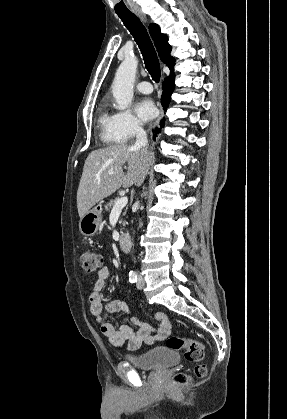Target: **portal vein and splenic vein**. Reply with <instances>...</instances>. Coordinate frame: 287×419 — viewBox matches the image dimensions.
I'll list each match as a JSON object with an SVG mask.
<instances>
[{
  "mask_svg": "<svg viewBox=\"0 0 287 419\" xmlns=\"http://www.w3.org/2000/svg\"><path fill=\"white\" fill-rule=\"evenodd\" d=\"M109 174H113V171H109ZM127 203H128L127 196H122L121 198L117 199L111 212L122 210L127 205Z\"/></svg>",
  "mask_w": 287,
  "mask_h": 419,
  "instance_id": "portal-vein-and-splenic-vein-1",
  "label": "portal vein and splenic vein"
}]
</instances>
